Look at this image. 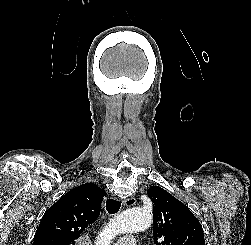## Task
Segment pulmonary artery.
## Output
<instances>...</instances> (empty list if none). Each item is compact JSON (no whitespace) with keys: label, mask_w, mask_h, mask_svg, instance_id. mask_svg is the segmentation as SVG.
Listing matches in <instances>:
<instances>
[{"label":"pulmonary artery","mask_w":251,"mask_h":245,"mask_svg":"<svg viewBox=\"0 0 251 245\" xmlns=\"http://www.w3.org/2000/svg\"><path fill=\"white\" fill-rule=\"evenodd\" d=\"M114 245H136V240L133 237H124L118 240Z\"/></svg>","instance_id":"e3ab8cb5"}]
</instances>
